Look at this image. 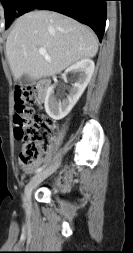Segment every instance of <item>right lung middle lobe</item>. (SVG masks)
Segmentation results:
<instances>
[{
	"label": "right lung middle lobe",
	"mask_w": 133,
	"mask_h": 253,
	"mask_svg": "<svg viewBox=\"0 0 133 253\" xmlns=\"http://www.w3.org/2000/svg\"><path fill=\"white\" fill-rule=\"evenodd\" d=\"M5 10L6 29L9 27L24 0H0Z\"/></svg>",
	"instance_id": "obj_1"
}]
</instances>
